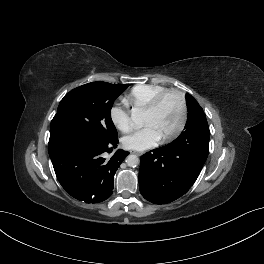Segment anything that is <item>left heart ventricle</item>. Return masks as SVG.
I'll use <instances>...</instances> for the list:
<instances>
[{
  "label": "left heart ventricle",
  "mask_w": 264,
  "mask_h": 264,
  "mask_svg": "<svg viewBox=\"0 0 264 264\" xmlns=\"http://www.w3.org/2000/svg\"><path fill=\"white\" fill-rule=\"evenodd\" d=\"M181 117L180 103L176 95L167 96L153 112H144L143 124L153 125L161 137L172 132Z\"/></svg>",
  "instance_id": "left-heart-ventricle-1"
}]
</instances>
